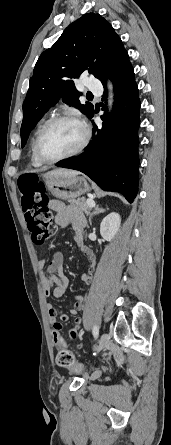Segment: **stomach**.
I'll list each match as a JSON object with an SVG mask.
<instances>
[{
	"mask_svg": "<svg viewBox=\"0 0 171 445\" xmlns=\"http://www.w3.org/2000/svg\"><path fill=\"white\" fill-rule=\"evenodd\" d=\"M45 185L60 200L76 199L91 190L82 176L45 175Z\"/></svg>",
	"mask_w": 171,
	"mask_h": 445,
	"instance_id": "stomach-1",
	"label": "stomach"
}]
</instances>
